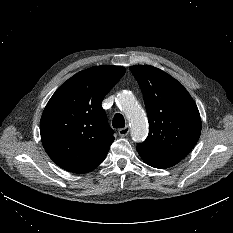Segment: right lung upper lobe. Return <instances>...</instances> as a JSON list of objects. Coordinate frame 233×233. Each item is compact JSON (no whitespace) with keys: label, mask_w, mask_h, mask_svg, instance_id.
<instances>
[{"label":"right lung upper lobe","mask_w":233,"mask_h":233,"mask_svg":"<svg viewBox=\"0 0 233 233\" xmlns=\"http://www.w3.org/2000/svg\"><path fill=\"white\" fill-rule=\"evenodd\" d=\"M125 73L96 66L64 82L46 105L40 131L46 153L61 168L86 173L99 166L114 141L101 102Z\"/></svg>","instance_id":"cb5924a9"}]
</instances>
